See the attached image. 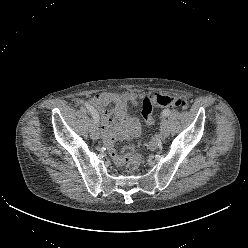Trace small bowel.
Segmentation results:
<instances>
[{"label":"small bowel","mask_w":248,"mask_h":248,"mask_svg":"<svg viewBox=\"0 0 248 248\" xmlns=\"http://www.w3.org/2000/svg\"><path fill=\"white\" fill-rule=\"evenodd\" d=\"M139 99L140 96L131 91L102 92L90 98L87 103L98 110L103 141L113 161L118 165L124 162L126 155L116 153L115 140L134 137L140 133L138 120L128 112L129 103H137ZM110 104H114V107L110 110L106 109ZM156 143L157 139H154L152 144L156 145Z\"/></svg>","instance_id":"obj_1"}]
</instances>
